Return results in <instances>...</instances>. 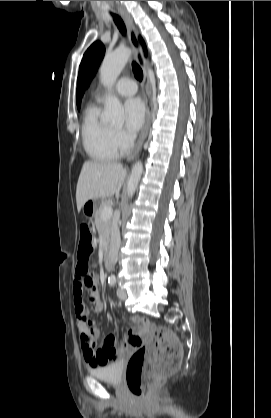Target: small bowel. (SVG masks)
I'll use <instances>...</instances> for the list:
<instances>
[{
    "mask_svg": "<svg viewBox=\"0 0 271 418\" xmlns=\"http://www.w3.org/2000/svg\"><path fill=\"white\" fill-rule=\"evenodd\" d=\"M97 282V270L91 269V261L77 260L73 279V302L77 312L76 322L80 331L83 356L91 367H99L113 362L141 343L140 337L133 330H129L119 346L115 335L108 336L101 345L97 344L101 331L99 327H95V320L89 319L88 314H78V312H87L83 301L85 291L90 292L93 310L96 313L103 310L104 302L98 294ZM141 320L140 317L132 318V322L136 324H142Z\"/></svg>",
    "mask_w": 271,
    "mask_h": 418,
    "instance_id": "obj_1",
    "label": "small bowel"
}]
</instances>
